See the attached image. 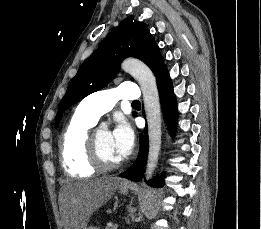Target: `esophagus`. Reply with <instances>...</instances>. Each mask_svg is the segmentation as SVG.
Here are the masks:
<instances>
[{
  "label": "esophagus",
  "instance_id": "1",
  "mask_svg": "<svg viewBox=\"0 0 261 229\" xmlns=\"http://www.w3.org/2000/svg\"><path fill=\"white\" fill-rule=\"evenodd\" d=\"M121 184H123L124 186H129V185H131V183H130L129 181H122Z\"/></svg>",
  "mask_w": 261,
  "mask_h": 229
}]
</instances>
